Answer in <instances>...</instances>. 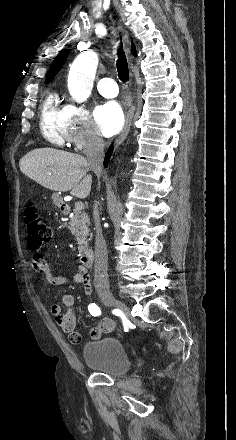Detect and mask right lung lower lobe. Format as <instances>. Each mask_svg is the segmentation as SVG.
Here are the masks:
<instances>
[{"instance_id": "right-lung-lower-lobe-1", "label": "right lung lower lobe", "mask_w": 236, "mask_h": 440, "mask_svg": "<svg viewBox=\"0 0 236 440\" xmlns=\"http://www.w3.org/2000/svg\"><path fill=\"white\" fill-rule=\"evenodd\" d=\"M112 152H113V146L111 145V146L109 147V149H108L107 154L105 155V158H104V166H105V167L107 166V163H108V161H109V159H110V156H111Z\"/></svg>"}]
</instances>
